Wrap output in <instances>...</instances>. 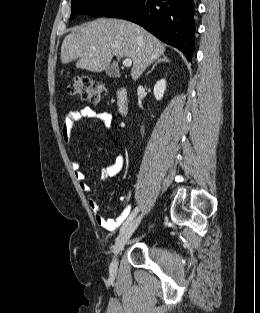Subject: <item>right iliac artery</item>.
I'll return each instance as SVG.
<instances>
[{
    "mask_svg": "<svg viewBox=\"0 0 260 313\" xmlns=\"http://www.w3.org/2000/svg\"><path fill=\"white\" fill-rule=\"evenodd\" d=\"M139 211V207H136L134 209V211L131 213V215L129 216V218L126 220V222L123 224L121 231H123L124 228H126L128 226V224L133 220V218L137 215Z\"/></svg>",
    "mask_w": 260,
    "mask_h": 313,
    "instance_id": "1",
    "label": "right iliac artery"
}]
</instances>
